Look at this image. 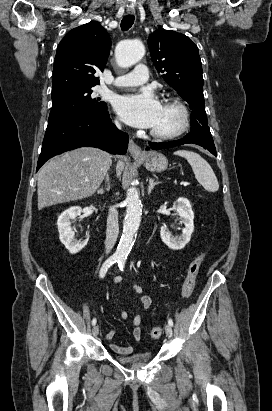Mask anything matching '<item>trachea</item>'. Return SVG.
Instances as JSON below:
<instances>
[{"mask_svg": "<svg viewBox=\"0 0 272 411\" xmlns=\"http://www.w3.org/2000/svg\"><path fill=\"white\" fill-rule=\"evenodd\" d=\"M135 17L133 15H126L121 21V29L127 31L132 27Z\"/></svg>", "mask_w": 272, "mask_h": 411, "instance_id": "1", "label": "trachea"}]
</instances>
